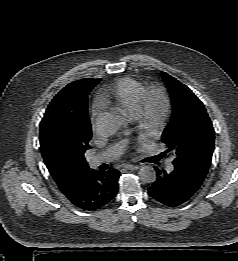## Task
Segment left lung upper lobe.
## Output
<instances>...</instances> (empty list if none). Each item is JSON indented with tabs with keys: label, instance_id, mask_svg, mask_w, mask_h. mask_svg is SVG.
Here are the masks:
<instances>
[{
	"label": "left lung upper lobe",
	"instance_id": "obj_1",
	"mask_svg": "<svg viewBox=\"0 0 238 261\" xmlns=\"http://www.w3.org/2000/svg\"><path fill=\"white\" fill-rule=\"evenodd\" d=\"M162 78L173 104L162 141L175 154L174 167L206 177L214 151L212 122L202 102L187 86L165 72Z\"/></svg>",
	"mask_w": 238,
	"mask_h": 261
}]
</instances>
